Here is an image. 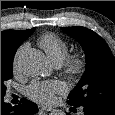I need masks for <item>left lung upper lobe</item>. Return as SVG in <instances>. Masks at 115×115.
I'll use <instances>...</instances> for the list:
<instances>
[{
  "instance_id": "left-lung-upper-lobe-1",
  "label": "left lung upper lobe",
  "mask_w": 115,
  "mask_h": 115,
  "mask_svg": "<svg viewBox=\"0 0 115 115\" xmlns=\"http://www.w3.org/2000/svg\"><path fill=\"white\" fill-rule=\"evenodd\" d=\"M76 39L86 55V69L68 96L75 107H98L115 112V61L107 43L85 27H61Z\"/></svg>"
}]
</instances>
